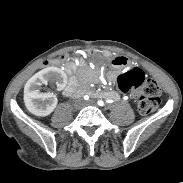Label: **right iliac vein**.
<instances>
[{
	"mask_svg": "<svg viewBox=\"0 0 183 183\" xmlns=\"http://www.w3.org/2000/svg\"><path fill=\"white\" fill-rule=\"evenodd\" d=\"M82 107H83V102L80 99H78L74 102L75 109H81Z\"/></svg>",
	"mask_w": 183,
	"mask_h": 183,
	"instance_id": "obj_1",
	"label": "right iliac vein"
}]
</instances>
